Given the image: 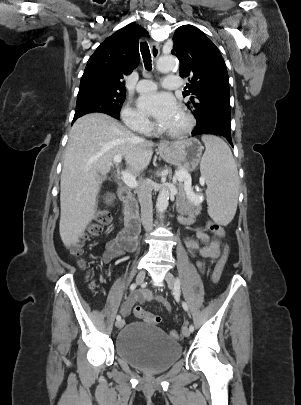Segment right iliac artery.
<instances>
[{"label": "right iliac artery", "mask_w": 301, "mask_h": 405, "mask_svg": "<svg viewBox=\"0 0 301 405\" xmlns=\"http://www.w3.org/2000/svg\"><path fill=\"white\" fill-rule=\"evenodd\" d=\"M136 287H137V284H136V283H133V284L130 286V290L133 291V290L136 289ZM116 319H117V320H120V319H121V316H120V315H117Z\"/></svg>", "instance_id": "right-iliac-artery-1"}]
</instances>
